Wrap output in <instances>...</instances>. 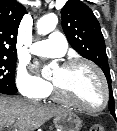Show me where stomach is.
Returning a JSON list of instances; mask_svg holds the SVG:
<instances>
[{"label": "stomach", "mask_w": 117, "mask_h": 131, "mask_svg": "<svg viewBox=\"0 0 117 131\" xmlns=\"http://www.w3.org/2000/svg\"><path fill=\"white\" fill-rule=\"evenodd\" d=\"M54 124L57 131H80L82 127L80 118L69 111L55 116Z\"/></svg>", "instance_id": "stomach-1"}]
</instances>
